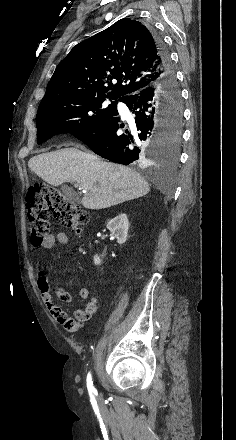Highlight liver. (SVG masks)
I'll return each instance as SVG.
<instances>
[{"label": "liver", "mask_w": 236, "mask_h": 440, "mask_svg": "<svg viewBox=\"0 0 236 440\" xmlns=\"http://www.w3.org/2000/svg\"><path fill=\"white\" fill-rule=\"evenodd\" d=\"M28 166L53 186L76 182L86 191L83 192L81 203L87 209H105L142 197L150 191L147 181L136 171L102 161L96 155L78 148L36 155L29 160Z\"/></svg>", "instance_id": "6515ba94"}]
</instances>
